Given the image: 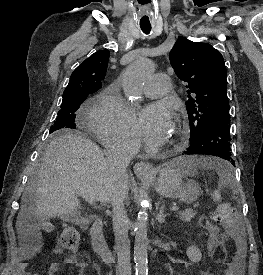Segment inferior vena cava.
<instances>
[{"label":"inferior vena cava","mask_w":263,"mask_h":275,"mask_svg":"<svg viewBox=\"0 0 263 275\" xmlns=\"http://www.w3.org/2000/svg\"><path fill=\"white\" fill-rule=\"evenodd\" d=\"M135 152L126 142L114 143L107 147L106 158L120 191L112 197V222L118 255V274L131 275L130 241L128 237L129 220L124 208L127 188V166Z\"/></svg>","instance_id":"inferior-vena-cava-1"}]
</instances>
